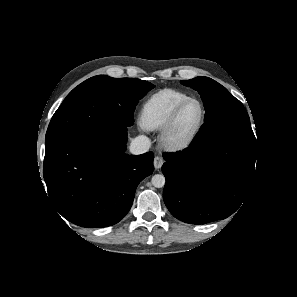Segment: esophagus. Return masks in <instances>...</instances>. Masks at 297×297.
<instances>
[{
    "label": "esophagus",
    "instance_id": "obj_1",
    "mask_svg": "<svg viewBox=\"0 0 297 297\" xmlns=\"http://www.w3.org/2000/svg\"><path fill=\"white\" fill-rule=\"evenodd\" d=\"M163 163H164V160H163V158H162L161 156H156V157L154 158V167H155L156 169L161 168L162 165H163Z\"/></svg>",
    "mask_w": 297,
    "mask_h": 297
}]
</instances>
